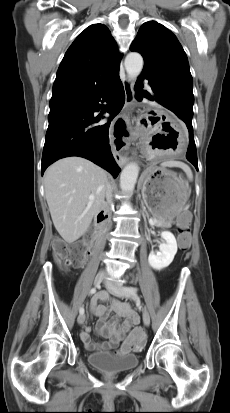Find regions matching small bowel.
I'll return each instance as SVG.
<instances>
[{
	"label": "small bowel",
	"mask_w": 230,
	"mask_h": 413,
	"mask_svg": "<svg viewBox=\"0 0 230 413\" xmlns=\"http://www.w3.org/2000/svg\"><path fill=\"white\" fill-rule=\"evenodd\" d=\"M107 301L109 305L98 304V301ZM92 314L98 317L97 334L107 339L105 342L94 341L91 336V327L85 326L81 332V340L88 350L107 351L113 350L118 354H128L131 348L125 340L119 347L123 336L139 322V317L133 311L129 304L122 302L116 298H112L106 292H100L91 302ZM114 312V315L109 317V314ZM124 318L122 324L119 323V318Z\"/></svg>",
	"instance_id": "small-bowel-1"
}]
</instances>
